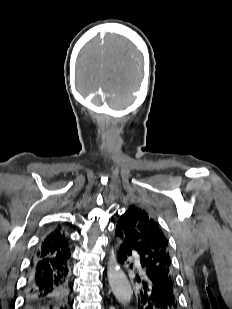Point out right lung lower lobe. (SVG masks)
Masks as SVG:
<instances>
[{"label": "right lung lower lobe", "mask_w": 232, "mask_h": 309, "mask_svg": "<svg viewBox=\"0 0 232 309\" xmlns=\"http://www.w3.org/2000/svg\"><path fill=\"white\" fill-rule=\"evenodd\" d=\"M69 259L45 257L34 259L26 285V309L69 308Z\"/></svg>", "instance_id": "1"}]
</instances>
